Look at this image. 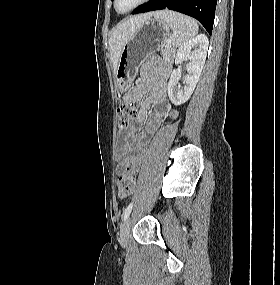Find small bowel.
Masks as SVG:
<instances>
[{
  "instance_id": "1",
  "label": "small bowel",
  "mask_w": 280,
  "mask_h": 285,
  "mask_svg": "<svg viewBox=\"0 0 280 285\" xmlns=\"http://www.w3.org/2000/svg\"><path fill=\"white\" fill-rule=\"evenodd\" d=\"M171 76L169 66H163L159 72H154L150 64L145 69V74L139 82L124 95L126 102L137 103V120H144L149 107L153 104L160 105V110L156 113L157 120L165 117L170 111V104L167 98V85ZM157 125L155 121L146 123L141 134L124 131L118 135V165L117 173L127 172L136 175L139 171L140 158L135 151H142L147 141V137L154 133ZM136 144L134 148L133 145Z\"/></svg>"
}]
</instances>
